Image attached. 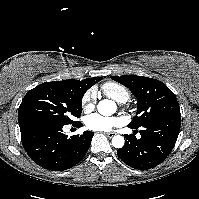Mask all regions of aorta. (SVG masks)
Returning <instances> with one entry per match:
<instances>
[{
    "label": "aorta",
    "instance_id": "762f6f07",
    "mask_svg": "<svg viewBox=\"0 0 199 199\" xmlns=\"http://www.w3.org/2000/svg\"><path fill=\"white\" fill-rule=\"evenodd\" d=\"M116 104L112 100L104 99L97 105L98 112L103 116H110L116 111ZM125 144L123 136L116 135L112 138V145L115 148H122Z\"/></svg>",
    "mask_w": 199,
    "mask_h": 199
}]
</instances>
